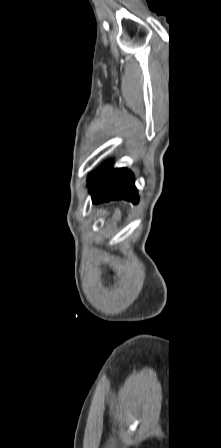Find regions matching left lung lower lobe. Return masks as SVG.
<instances>
[{"label": "left lung lower lobe", "instance_id": "1", "mask_svg": "<svg viewBox=\"0 0 221 448\" xmlns=\"http://www.w3.org/2000/svg\"><path fill=\"white\" fill-rule=\"evenodd\" d=\"M88 186L93 203L124 199L137 204L139 201L134 175L125 168L112 169L107 165L90 174Z\"/></svg>", "mask_w": 221, "mask_h": 448}]
</instances>
